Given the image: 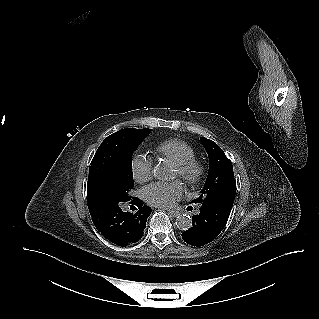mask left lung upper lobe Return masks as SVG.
Returning <instances> with one entry per match:
<instances>
[{
	"mask_svg": "<svg viewBox=\"0 0 319 319\" xmlns=\"http://www.w3.org/2000/svg\"><path fill=\"white\" fill-rule=\"evenodd\" d=\"M200 141L209 156V173L200 196L192 202L202 203L219 197L235 196L236 181L231 161L212 140L201 137Z\"/></svg>",
	"mask_w": 319,
	"mask_h": 319,
	"instance_id": "left-lung-upper-lobe-1",
	"label": "left lung upper lobe"
}]
</instances>
